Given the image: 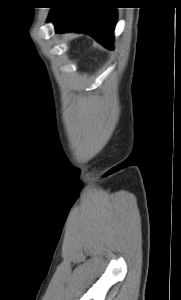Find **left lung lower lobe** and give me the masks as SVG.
<instances>
[{
    "label": "left lung lower lobe",
    "instance_id": "obj_1",
    "mask_svg": "<svg viewBox=\"0 0 181 300\" xmlns=\"http://www.w3.org/2000/svg\"><path fill=\"white\" fill-rule=\"evenodd\" d=\"M49 21L58 32H82L113 49L117 11L106 0H65L51 8Z\"/></svg>",
    "mask_w": 181,
    "mask_h": 300
}]
</instances>
